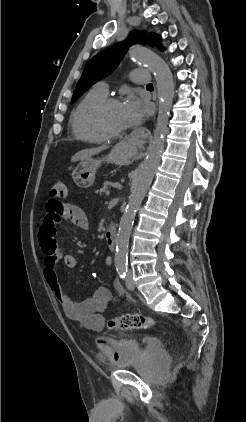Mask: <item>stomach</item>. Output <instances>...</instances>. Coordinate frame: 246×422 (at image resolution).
Segmentation results:
<instances>
[{
  "instance_id": "0dacf381",
  "label": "stomach",
  "mask_w": 246,
  "mask_h": 422,
  "mask_svg": "<svg viewBox=\"0 0 246 422\" xmlns=\"http://www.w3.org/2000/svg\"><path fill=\"white\" fill-rule=\"evenodd\" d=\"M131 159L132 154L130 151L123 143H120L102 159L87 158L81 161L72 173L73 181L80 188H89L93 185L97 169L102 162L123 165L130 163Z\"/></svg>"
}]
</instances>
